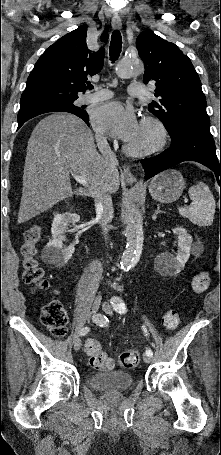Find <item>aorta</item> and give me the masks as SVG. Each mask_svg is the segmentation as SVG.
<instances>
[{"label":"aorta","mask_w":221,"mask_h":455,"mask_svg":"<svg viewBox=\"0 0 221 455\" xmlns=\"http://www.w3.org/2000/svg\"><path fill=\"white\" fill-rule=\"evenodd\" d=\"M143 71V63L137 58L125 57L117 66V75L122 79L139 75ZM125 222L126 249L120 265L123 270H128L139 261L144 241L142 214L134 202H130L126 208Z\"/></svg>","instance_id":"1"}]
</instances>
